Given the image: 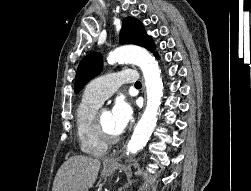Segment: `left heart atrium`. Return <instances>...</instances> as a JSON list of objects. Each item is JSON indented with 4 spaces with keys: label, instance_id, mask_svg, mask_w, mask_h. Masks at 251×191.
Wrapping results in <instances>:
<instances>
[{
    "label": "left heart atrium",
    "instance_id": "39dd6f15",
    "mask_svg": "<svg viewBox=\"0 0 251 191\" xmlns=\"http://www.w3.org/2000/svg\"><path fill=\"white\" fill-rule=\"evenodd\" d=\"M110 126L114 134H121L132 119L133 110L129 103L117 100L110 111Z\"/></svg>",
    "mask_w": 251,
    "mask_h": 191
}]
</instances>
